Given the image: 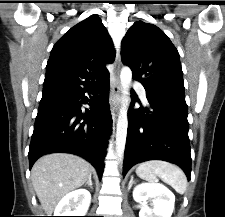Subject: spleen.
<instances>
[{
	"label": "spleen",
	"mask_w": 225,
	"mask_h": 217,
	"mask_svg": "<svg viewBox=\"0 0 225 217\" xmlns=\"http://www.w3.org/2000/svg\"><path fill=\"white\" fill-rule=\"evenodd\" d=\"M136 173L150 182H156L159 177L179 194H184L187 188V178L184 172L178 166L163 160L143 162L136 168Z\"/></svg>",
	"instance_id": "3e777b00"
}]
</instances>
